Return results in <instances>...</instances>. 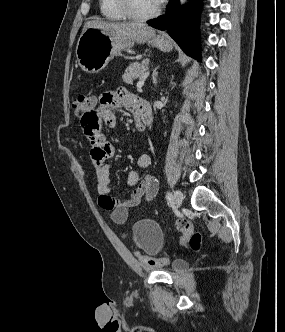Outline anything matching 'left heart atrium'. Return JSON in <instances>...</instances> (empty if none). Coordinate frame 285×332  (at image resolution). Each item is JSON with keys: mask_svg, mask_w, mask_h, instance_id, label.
Masks as SVG:
<instances>
[{"mask_svg": "<svg viewBox=\"0 0 285 332\" xmlns=\"http://www.w3.org/2000/svg\"><path fill=\"white\" fill-rule=\"evenodd\" d=\"M165 0H154L157 6H160Z\"/></svg>", "mask_w": 285, "mask_h": 332, "instance_id": "obj_1", "label": "left heart atrium"}]
</instances>
